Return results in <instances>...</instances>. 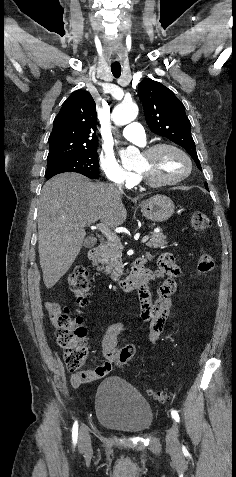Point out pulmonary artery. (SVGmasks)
I'll list each match as a JSON object with an SVG mask.
<instances>
[{"label": "pulmonary artery", "instance_id": "e3ab8cb5", "mask_svg": "<svg viewBox=\"0 0 236 477\" xmlns=\"http://www.w3.org/2000/svg\"><path fill=\"white\" fill-rule=\"evenodd\" d=\"M122 135L129 141L145 145L146 134L141 124L138 122H131L122 129Z\"/></svg>", "mask_w": 236, "mask_h": 477}]
</instances>
